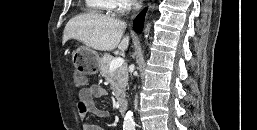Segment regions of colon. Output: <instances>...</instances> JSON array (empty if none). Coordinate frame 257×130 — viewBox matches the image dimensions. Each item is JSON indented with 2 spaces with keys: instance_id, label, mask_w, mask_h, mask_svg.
Returning <instances> with one entry per match:
<instances>
[{
  "instance_id": "5ec220e1",
  "label": "colon",
  "mask_w": 257,
  "mask_h": 130,
  "mask_svg": "<svg viewBox=\"0 0 257 130\" xmlns=\"http://www.w3.org/2000/svg\"><path fill=\"white\" fill-rule=\"evenodd\" d=\"M73 78L77 87H83L87 84L86 76L79 70L74 71Z\"/></svg>"
}]
</instances>
